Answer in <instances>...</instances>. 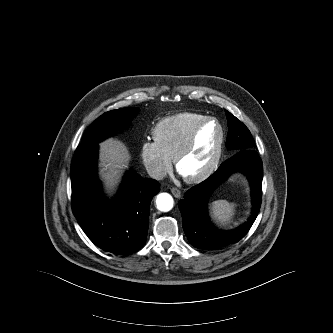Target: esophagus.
<instances>
[{
  "label": "esophagus",
  "instance_id": "34e87169",
  "mask_svg": "<svg viewBox=\"0 0 333 333\" xmlns=\"http://www.w3.org/2000/svg\"><path fill=\"white\" fill-rule=\"evenodd\" d=\"M171 192L174 195V197L176 198H180L181 197V191L175 187L171 188Z\"/></svg>",
  "mask_w": 333,
  "mask_h": 333
}]
</instances>
